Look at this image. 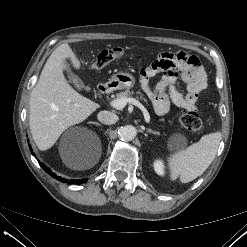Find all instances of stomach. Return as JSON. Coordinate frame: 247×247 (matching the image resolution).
<instances>
[{
    "mask_svg": "<svg viewBox=\"0 0 247 247\" xmlns=\"http://www.w3.org/2000/svg\"><path fill=\"white\" fill-rule=\"evenodd\" d=\"M135 78L132 74L127 72H118L112 75L109 84L113 89H130L135 85Z\"/></svg>",
    "mask_w": 247,
    "mask_h": 247,
    "instance_id": "obj_1",
    "label": "stomach"
}]
</instances>
